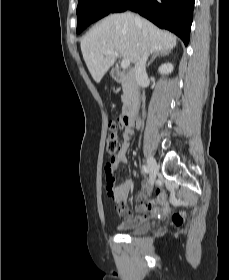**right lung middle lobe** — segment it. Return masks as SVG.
<instances>
[{
  "label": "right lung middle lobe",
  "mask_w": 229,
  "mask_h": 280,
  "mask_svg": "<svg viewBox=\"0 0 229 280\" xmlns=\"http://www.w3.org/2000/svg\"><path fill=\"white\" fill-rule=\"evenodd\" d=\"M118 0H78L77 33L82 32L89 24L108 15Z\"/></svg>",
  "instance_id": "obj_1"
}]
</instances>
